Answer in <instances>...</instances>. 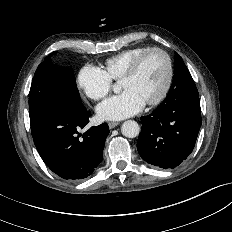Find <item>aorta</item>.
Wrapping results in <instances>:
<instances>
[{
	"instance_id": "762f6f07",
	"label": "aorta",
	"mask_w": 232,
	"mask_h": 232,
	"mask_svg": "<svg viewBox=\"0 0 232 232\" xmlns=\"http://www.w3.org/2000/svg\"><path fill=\"white\" fill-rule=\"evenodd\" d=\"M121 132L125 137L135 138L140 133L139 124L133 120H127L122 124Z\"/></svg>"
}]
</instances>
